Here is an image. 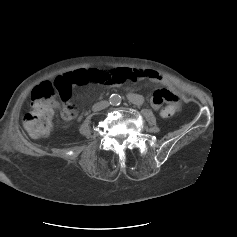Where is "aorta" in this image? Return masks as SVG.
<instances>
[{
  "instance_id": "aorta-1",
  "label": "aorta",
  "mask_w": 237,
  "mask_h": 237,
  "mask_svg": "<svg viewBox=\"0 0 237 237\" xmlns=\"http://www.w3.org/2000/svg\"><path fill=\"white\" fill-rule=\"evenodd\" d=\"M110 104L111 105H119L122 101L121 96L118 94H112L109 98Z\"/></svg>"
}]
</instances>
